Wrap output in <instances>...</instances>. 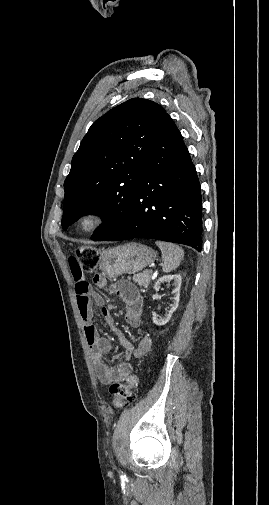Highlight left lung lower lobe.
<instances>
[{"label": "left lung lower lobe", "mask_w": 269, "mask_h": 505, "mask_svg": "<svg viewBox=\"0 0 269 505\" xmlns=\"http://www.w3.org/2000/svg\"><path fill=\"white\" fill-rule=\"evenodd\" d=\"M133 238L180 243L201 251L200 183L182 136L168 114L145 157L129 217L113 233L96 241Z\"/></svg>", "instance_id": "1"}]
</instances>
